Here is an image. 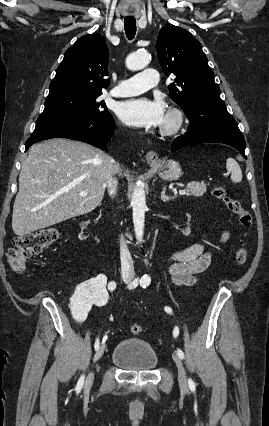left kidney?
Returning <instances> with one entry per match:
<instances>
[{
  "mask_svg": "<svg viewBox=\"0 0 269 426\" xmlns=\"http://www.w3.org/2000/svg\"><path fill=\"white\" fill-rule=\"evenodd\" d=\"M183 235L188 236L191 233V229H190V224H187V226L185 228H183L182 230Z\"/></svg>",
  "mask_w": 269,
  "mask_h": 426,
  "instance_id": "left-kidney-1",
  "label": "left kidney"
}]
</instances>
